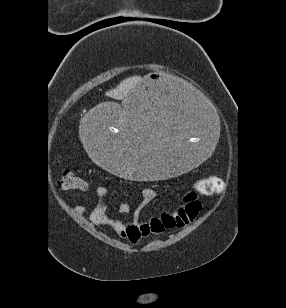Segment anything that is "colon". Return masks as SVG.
<instances>
[{"instance_id":"1","label":"colon","mask_w":286,"mask_h":308,"mask_svg":"<svg viewBox=\"0 0 286 308\" xmlns=\"http://www.w3.org/2000/svg\"><path fill=\"white\" fill-rule=\"evenodd\" d=\"M59 186L65 190H85L88 183L81 176L69 169H63L58 180ZM224 181L219 177H209L197 183L196 190L200 194H212L223 190Z\"/></svg>"}]
</instances>
